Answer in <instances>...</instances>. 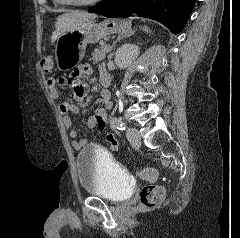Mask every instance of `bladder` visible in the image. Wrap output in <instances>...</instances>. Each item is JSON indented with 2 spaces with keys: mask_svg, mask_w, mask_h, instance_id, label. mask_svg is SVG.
Instances as JSON below:
<instances>
[{
  "mask_svg": "<svg viewBox=\"0 0 240 238\" xmlns=\"http://www.w3.org/2000/svg\"><path fill=\"white\" fill-rule=\"evenodd\" d=\"M76 167L80 186L90 196L118 203L134 191L133 178L102 148L89 145L81 149Z\"/></svg>",
  "mask_w": 240,
  "mask_h": 238,
  "instance_id": "bladder-1",
  "label": "bladder"
}]
</instances>
